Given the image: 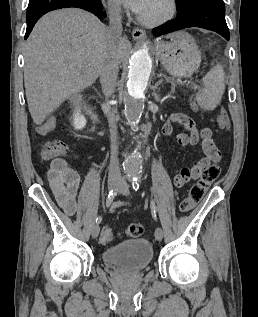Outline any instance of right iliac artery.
I'll return each mask as SVG.
<instances>
[{
    "mask_svg": "<svg viewBox=\"0 0 258 317\" xmlns=\"http://www.w3.org/2000/svg\"><path fill=\"white\" fill-rule=\"evenodd\" d=\"M116 195H117V192H116V191L111 190V191L109 192V194L107 195V198H106V206H107V207H109V206L112 204V202H113V200H114V198H115ZM101 221H102V217H101V216H98V217L96 218V223H97V224H100Z\"/></svg>",
    "mask_w": 258,
    "mask_h": 317,
    "instance_id": "obj_1",
    "label": "right iliac artery"
}]
</instances>
